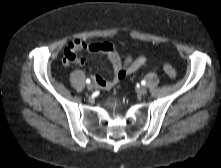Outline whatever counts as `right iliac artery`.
I'll return each mask as SVG.
<instances>
[{"label":"right iliac artery","instance_id":"1","mask_svg":"<svg viewBox=\"0 0 221 168\" xmlns=\"http://www.w3.org/2000/svg\"><path fill=\"white\" fill-rule=\"evenodd\" d=\"M91 80L90 79H86V83L90 84Z\"/></svg>","mask_w":221,"mask_h":168}]
</instances>
